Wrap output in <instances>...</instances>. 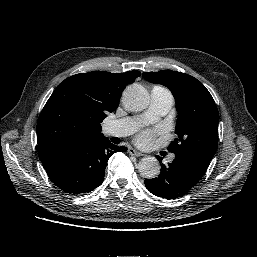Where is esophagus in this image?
<instances>
[{"label": "esophagus", "mask_w": 257, "mask_h": 257, "mask_svg": "<svg viewBox=\"0 0 257 257\" xmlns=\"http://www.w3.org/2000/svg\"><path fill=\"white\" fill-rule=\"evenodd\" d=\"M128 153H129L130 155H132V156H137V157L143 155L141 152L137 151V150L134 149V148H129V149H128Z\"/></svg>", "instance_id": "34e87169"}]
</instances>
